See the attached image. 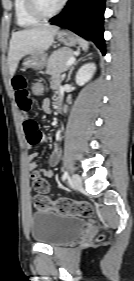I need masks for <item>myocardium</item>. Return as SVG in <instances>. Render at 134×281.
<instances>
[{
  "label": "myocardium",
  "instance_id": "myocardium-1",
  "mask_svg": "<svg viewBox=\"0 0 134 281\" xmlns=\"http://www.w3.org/2000/svg\"><path fill=\"white\" fill-rule=\"evenodd\" d=\"M66 0H61L58 6L52 11H45L39 4V0H26L28 11L38 19H48L57 15L64 7Z\"/></svg>",
  "mask_w": 134,
  "mask_h": 281
}]
</instances>
